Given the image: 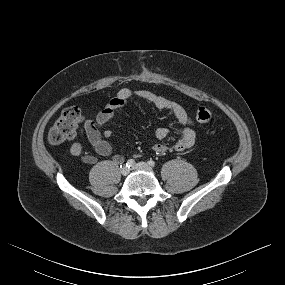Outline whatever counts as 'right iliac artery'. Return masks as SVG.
<instances>
[{"label": "right iliac artery", "mask_w": 285, "mask_h": 285, "mask_svg": "<svg viewBox=\"0 0 285 285\" xmlns=\"http://www.w3.org/2000/svg\"><path fill=\"white\" fill-rule=\"evenodd\" d=\"M134 164H135V160H134V159H129V160L126 162V167H127V168H130V167H132ZM121 167H122V166H121Z\"/></svg>", "instance_id": "obj_1"}]
</instances>
